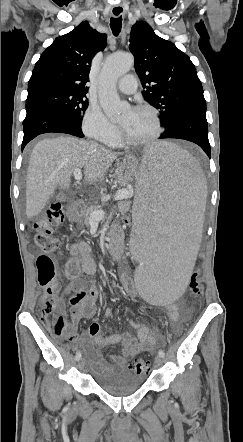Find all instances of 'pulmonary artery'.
<instances>
[{
    "label": "pulmonary artery",
    "instance_id": "obj_1",
    "mask_svg": "<svg viewBox=\"0 0 243 442\" xmlns=\"http://www.w3.org/2000/svg\"><path fill=\"white\" fill-rule=\"evenodd\" d=\"M137 79L133 74L123 76L118 82V89L123 94H133L137 89Z\"/></svg>",
    "mask_w": 243,
    "mask_h": 442
}]
</instances>
